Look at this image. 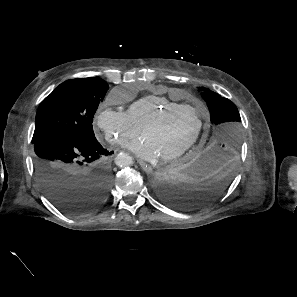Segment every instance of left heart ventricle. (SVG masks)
Returning a JSON list of instances; mask_svg holds the SVG:
<instances>
[{
  "mask_svg": "<svg viewBox=\"0 0 297 297\" xmlns=\"http://www.w3.org/2000/svg\"><path fill=\"white\" fill-rule=\"evenodd\" d=\"M197 125L196 112L184 109L169 114L155 126L146 129L142 136L155 145L162 157L183 146L193 135Z\"/></svg>",
  "mask_w": 297,
  "mask_h": 297,
  "instance_id": "left-heart-ventricle-1",
  "label": "left heart ventricle"
}]
</instances>
